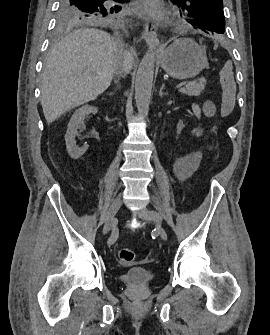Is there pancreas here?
Here are the masks:
<instances>
[{
	"label": "pancreas",
	"mask_w": 270,
	"mask_h": 335,
	"mask_svg": "<svg viewBox=\"0 0 270 335\" xmlns=\"http://www.w3.org/2000/svg\"><path fill=\"white\" fill-rule=\"evenodd\" d=\"M205 84V78H198V80H193V82H187L184 88H180L179 92L187 94V96H199L202 90H204Z\"/></svg>",
	"instance_id": "1"
}]
</instances>
